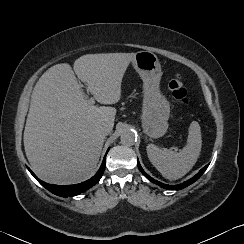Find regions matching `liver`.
I'll return each instance as SVG.
<instances>
[{
  "instance_id": "obj_1",
  "label": "liver",
  "mask_w": 244,
  "mask_h": 244,
  "mask_svg": "<svg viewBox=\"0 0 244 244\" xmlns=\"http://www.w3.org/2000/svg\"><path fill=\"white\" fill-rule=\"evenodd\" d=\"M135 53L87 54L49 68L36 83L24 130L31 168L42 180L60 185L82 182L97 167L105 136L98 127L114 126L116 109L90 105L76 76L104 105L121 98V83ZM76 75V76H75Z\"/></svg>"
}]
</instances>
